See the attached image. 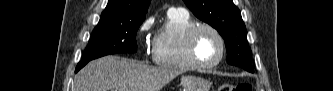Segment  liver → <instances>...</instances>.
<instances>
[{
	"mask_svg": "<svg viewBox=\"0 0 333 91\" xmlns=\"http://www.w3.org/2000/svg\"><path fill=\"white\" fill-rule=\"evenodd\" d=\"M181 74L172 67H152L134 60L105 56L88 63L75 76L76 91H160Z\"/></svg>",
	"mask_w": 333,
	"mask_h": 91,
	"instance_id": "6515ba94",
	"label": "liver"
}]
</instances>
